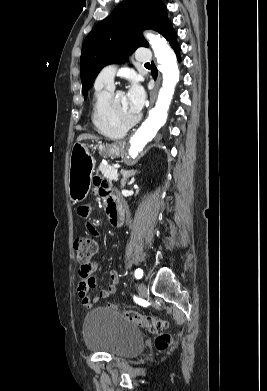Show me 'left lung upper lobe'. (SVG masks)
I'll return each instance as SVG.
<instances>
[{
    "label": "left lung upper lobe",
    "mask_w": 267,
    "mask_h": 391,
    "mask_svg": "<svg viewBox=\"0 0 267 391\" xmlns=\"http://www.w3.org/2000/svg\"><path fill=\"white\" fill-rule=\"evenodd\" d=\"M171 28L161 0H123L84 40L80 58L84 97L105 65L123 63L138 47L149 46L141 34L143 29L164 36Z\"/></svg>",
    "instance_id": "1"
}]
</instances>
